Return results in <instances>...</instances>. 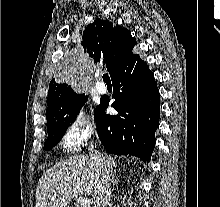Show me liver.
<instances>
[{
    "mask_svg": "<svg viewBox=\"0 0 220 207\" xmlns=\"http://www.w3.org/2000/svg\"><path fill=\"white\" fill-rule=\"evenodd\" d=\"M112 170L116 160L104 155ZM98 171L90 156L77 155L48 169L40 178L36 189V207H69L75 196L94 194Z\"/></svg>",
    "mask_w": 220,
    "mask_h": 207,
    "instance_id": "obj_1",
    "label": "liver"
}]
</instances>
